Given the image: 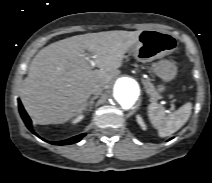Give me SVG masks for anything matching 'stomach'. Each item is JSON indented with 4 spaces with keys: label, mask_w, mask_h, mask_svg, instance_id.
<instances>
[{
    "label": "stomach",
    "mask_w": 212,
    "mask_h": 183,
    "mask_svg": "<svg viewBox=\"0 0 212 183\" xmlns=\"http://www.w3.org/2000/svg\"><path fill=\"white\" fill-rule=\"evenodd\" d=\"M176 49L177 40L172 34L160 30H143L128 53L143 63L159 60L153 64V72L164 82H169L177 75V66L164 57ZM158 91L164 92L165 86L159 85Z\"/></svg>",
    "instance_id": "obj_1"
}]
</instances>
